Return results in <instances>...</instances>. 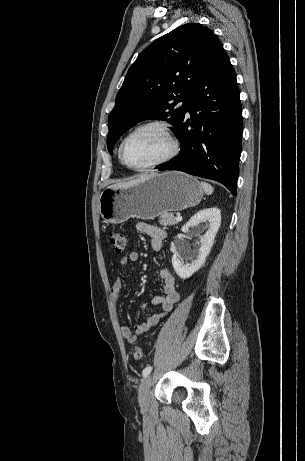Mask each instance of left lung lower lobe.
<instances>
[{
	"label": "left lung lower lobe",
	"mask_w": 305,
	"mask_h": 461,
	"mask_svg": "<svg viewBox=\"0 0 305 461\" xmlns=\"http://www.w3.org/2000/svg\"><path fill=\"white\" fill-rule=\"evenodd\" d=\"M239 95L235 72L222 49L189 95L186 114L174 132L181 142L179 155L156 168L216 180L236 195L243 124Z\"/></svg>",
	"instance_id": "obj_1"
}]
</instances>
